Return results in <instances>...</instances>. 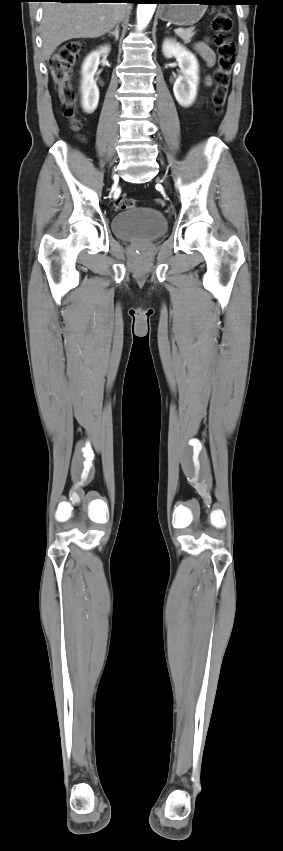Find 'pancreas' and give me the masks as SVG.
<instances>
[{
  "label": "pancreas",
  "instance_id": "pancreas-1",
  "mask_svg": "<svg viewBox=\"0 0 283 851\" xmlns=\"http://www.w3.org/2000/svg\"><path fill=\"white\" fill-rule=\"evenodd\" d=\"M193 30H194L193 28H188V29H185V30L183 29L179 32H176V35L179 36L184 41V43H190L192 37L195 34V32Z\"/></svg>",
  "mask_w": 283,
  "mask_h": 851
}]
</instances>
